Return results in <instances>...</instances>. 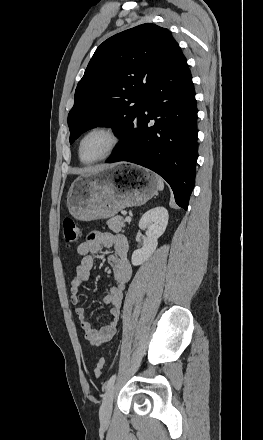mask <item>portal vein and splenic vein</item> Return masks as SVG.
I'll list each match as a JSON object with an SVG mask.
<instances>
[{
	"instance_id": "obj_1",
	"label": "portal vein and splenic vein",
	"mask_w": 263,
	"mask_h": 440,
	"mask_svg": "<svg viewBox=\"0 0 263 440\" xmlns=\"http://www.w3.org/2000/svg\"><path fill=\"white\" fill-rule=\"evenodd\" d=\"M125 221H126V222H131V217H130V216H126V217H125Z\"/></svg>"
}]
</instances>
